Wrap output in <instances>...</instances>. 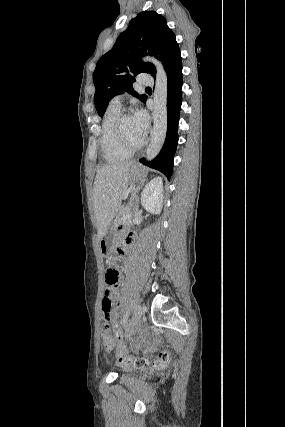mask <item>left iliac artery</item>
<instances>
[{"label":"left iliac artery","mask_w":285,"mask_h":427,"mask_svg":"<svg viewBox=\"0 0 285 427\" xmlns=\"http://www.w3.org/2000/svg\"><path fill=\"white\" fill-rule=\"evenodd\" d=\"M128 317H129V310L126 312V314L123 317V325H125V323L127 322Z\"/></svg>","instance_id":"1"}]
</instances>
